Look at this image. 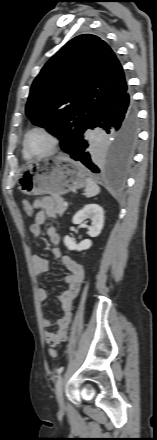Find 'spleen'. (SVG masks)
Returning <instances> with one entry per match:
<instances>
[{"label":"spleen","instance_id":"spleen-1","mask_svg":"<svg viewBox=\"0 0 157 440\" xmlns=\"http://www.w3.org/2000/svg\"><path fill=\"white\" fill-rule=\"evenodd\" d=\"M99 192V186L91 178H86L85 196L87 198L94 197L98 195Z\"/></svg>","mask_w":157,"mask_h":440}]
</instances>
